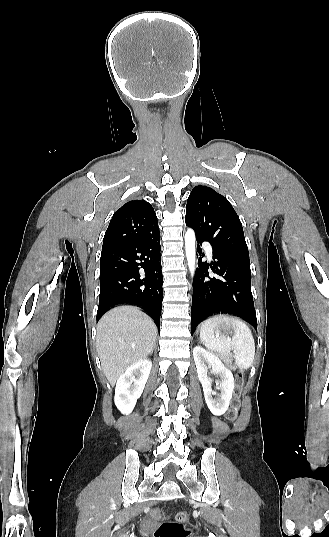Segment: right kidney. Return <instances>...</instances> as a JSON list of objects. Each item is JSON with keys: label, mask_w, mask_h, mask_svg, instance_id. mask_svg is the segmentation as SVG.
Listing matches in <instances>:
<instances>
[{"label": "right kidney", "mask_w": 329, "mask_h": 537, "mask_svg": "<svg viewBox=\"0 0 329 537\" xmlns=\"http://www.w3.org/2000/svg\"><path fill=\"white\" fill-rule=\"evenodd\" d=\"M152 362L142 359L127 368L117 380L115 389V405L122 414H130L141 396L148 380Z\"/></svg>", "instance_id": "ca27d5eb"}]
</instances>
